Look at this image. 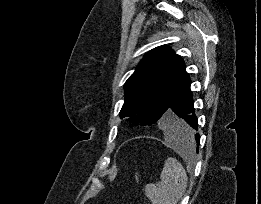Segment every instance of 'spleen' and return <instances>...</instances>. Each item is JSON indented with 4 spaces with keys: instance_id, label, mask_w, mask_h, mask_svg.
Here are the masks:
<instances>
[{
    "instance_id": "spleen-1",
    "label": "spleen",
    "mask_w": 261,
    "mask_h": 204,
    "mask_svg": "<svg viewBox=\"0 0 261 204\" xmlns=\"http://www.w3.org/2000/svg\"><path fill=\"white\" fill-rule=\"evenodd\" d=\"M165 141L179 153L186 154L195 151V142L192 138L184 143V141H177L165 132ZM160 179V184L150 183L146 185L145 195L152 204H177L185 193L188 182L186 171L181 163L172 157L166 159Z\"/></svg>"
}]
</instances>
